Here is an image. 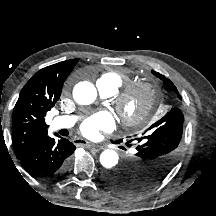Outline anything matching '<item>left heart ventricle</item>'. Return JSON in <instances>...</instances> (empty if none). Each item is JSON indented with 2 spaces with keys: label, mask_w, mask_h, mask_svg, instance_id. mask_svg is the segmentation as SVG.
<instances>
[{
  "label": "left heart ventricle",
  "mask_w": 216,
  "mask_h": 216,
  "mask_svg": "<svg viewBox=\"0 0 216 216\" xmlns=\"http://www.w3.org/2000/svg\"><path fill=\"white\" fill-rule=\"evenodd\" d=\"M139 104V97H134L132 100H131V104H129V109L130 108H137Z\"/></svg>",
  "instance_id": "b2bd125f"
}]
</instances>
